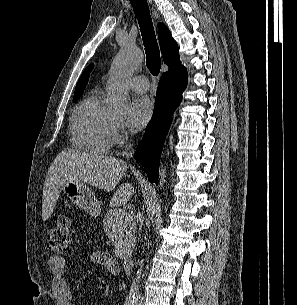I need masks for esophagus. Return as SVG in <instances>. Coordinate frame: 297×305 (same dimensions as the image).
Segmentation results:
<instances>
[{"label":"esophagus","instance_id":"esophagus-1","mask_svg":"<svg viewBox=\"0 0 297 305\" xmlns=\"http://www.w3.org/2000/svg\"><path fill=\"white\" fill-rule=\"evenodd\" d=\"M149 1V3H152V0H148Z\"/></svg>","mask_w":297,"mask_h":305}]
</instances>
